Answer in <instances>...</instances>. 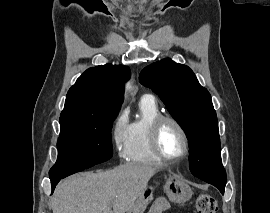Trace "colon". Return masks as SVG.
<instances>
[{"instance_id": "5ec220e1", "label": "colon", "mask_w": 270, "mask_h": 213, "mask_svg": "<svg viewBox=\"0 0 270 213\" xmlns=\"http://www.w3.org/2000/svg\"><path fill=\"white\" fill-rule=\"evenodd\" d=\"M197 213H216V200L208 194H200L195 201Z\"/></svg>"}]
</instances>
